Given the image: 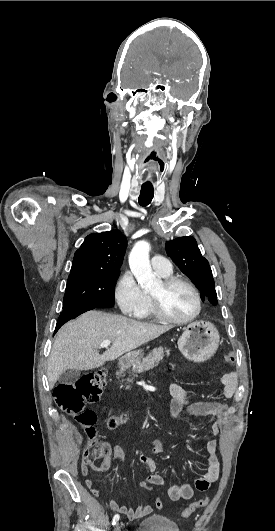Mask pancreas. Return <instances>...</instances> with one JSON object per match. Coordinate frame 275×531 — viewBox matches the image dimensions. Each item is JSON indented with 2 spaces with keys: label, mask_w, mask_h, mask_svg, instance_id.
Returning <instances> with one entry per match:
<instances>
[{
  "label": "pancreas",
  "mask_w": 275,
  "mask_h": 531,
  "mask_svg": "<svg viewBox=\"0 0 275 531\" xmlns=\"http://www.w3.org/2000/svg\"><path fill=\"white\" fill-rule=\"evenodd\" d=\"M165 355L169 357L170 349H166V347L165 349H163V347H158V349H153L149 355H146L145 359H142V361H136V363H131V365H123V363L119 361L120 371H116L117 379L124 377L126 369H131L133 375H131L130 379H122V381H133V377H138V375H134V373H144V371L153 369L154 365H159Z\"/></svg>",
  "instance_id": "obj_1"
}]
</instances>
